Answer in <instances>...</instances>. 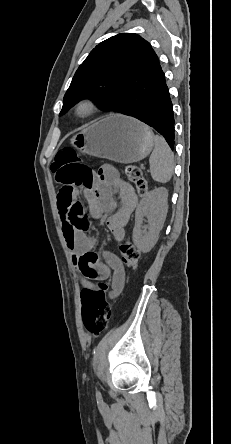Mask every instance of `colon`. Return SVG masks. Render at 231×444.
I'll return each mask as SVG.
<instances>
[{"mask_svg":"<svg viewBox=\"0 0 231 444\" xmlns=\"http://www.w3.org/2000/svg\"><path fill=\"white\" fill-rule=\"evenodd\" d=\"M51 171L56 180L67 188L85 186L91 183L93 172L72 148H62L56 154L51 165ZM125 175L131 181L140 195L148 191V183L141 169L132 164L124 168ZM72 216L77 230L86 233L89 222L84 216L83 207L77 203L72 208ZM122 260L129 269H134L139 259V251L129 240L121 246ZM108 284L98 282L95 289H84L81 295L82 315L86 329L93 335L101 334L109 324L112 316L111 304L107 299Z\"/></svg>","mask_w":231,"mask_h":444,"instance_id":"1","label":"colon"}]
</instances>
